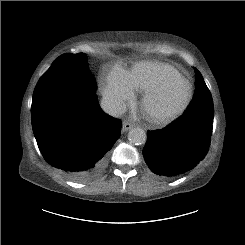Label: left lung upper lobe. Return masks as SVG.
Returning <instances> with one entry per match:
<instances>
[{
    "label": "left lung upper lobe",
    "mask_w": 245,
    "mask_h": 245,
    "mask_svg": "<svg viewBox=\"0 0 245 245\" xmlns=\"http://www.w3.org/2000/svg\"><path fill=\"white\" fill-rule=\"evenodd\" d=\"M195 73H196V83H195V87H196V91H197V90H198V89H197V82H198L199 80H203V77H202L201 73H200L197 69H195ZM203 82H204V81H203ZM204 84H205V82H204ZM205 86H206V84H205ZM206 87H207V86H206ZM206 95H207V96H211V93H210V91H209L208 88H207V91H206ZM198 98H199V96H198V97H195V95H194V100H193V102L191 103L190 107H189L187 110L193 111V110L199 108L201 102L195 101V99H198ZM210 98H211V97H210ZM202 102H203V101H202Z\"/></svg>",
    "instance_id": "left-lung-upper-lobe-1"
}]
</instances>
